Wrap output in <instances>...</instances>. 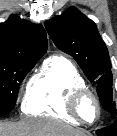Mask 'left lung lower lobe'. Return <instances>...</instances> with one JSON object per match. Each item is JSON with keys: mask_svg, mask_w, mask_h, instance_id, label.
<instances>
[{"mask_svg": "<svg viewBox=\"0 0 117 136\" xmlns=\"http://www.w3.org/2000/svg\"><path fill=\"white\" fill-rule=\"evenodd\" d=\"M98 136H117V121L109 127L96 131Z\"/></svg>", "mask_w": 117, "mask_h": 136, "instance_id": "left-lung-lower-lobe-1", "label": "left lung lower lobe"}]
</instances>
